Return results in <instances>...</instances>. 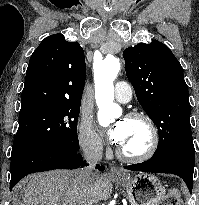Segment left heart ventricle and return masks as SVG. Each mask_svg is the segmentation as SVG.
Listing matches in <instances>:
<instances>
[{"label": "left heart ventricle", "instance_id": "b2bd125f", "mask_svg": "<svg viewBox=\"0 0 199 205\" xmlns=\"http://www.w3.org/2000/svg\"><path fill=\"white\" fill-rule=\"evenodd\" d=\"M126 132L119 147L129 153L137 154L145 150L149 142V130L141 120H124Z\"/></svg>", "mask_w": 199, "mask_h": 205}]
</instances>
